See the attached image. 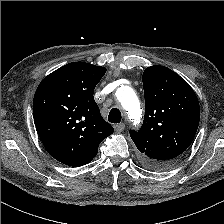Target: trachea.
Masks as SVG:
<instances>
[{
    "label": "trachea",
    "mask_w": 224,
    "mask_h": 224,
    "mask_svg": "<svg viewBox=\"0 0 224 224\" xmlns=\"http://www.w3.org/2000/svg\"><path fill=\"white\" fill-rule=\"evenodd\" d=\"M121 118V112L117 108H113L108 115V121L115 124L119 123L121 121Z\"/></svg>",
    "instance_id": "3493384b"
}]
</instances>
